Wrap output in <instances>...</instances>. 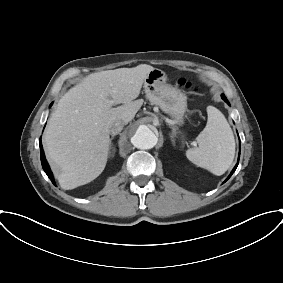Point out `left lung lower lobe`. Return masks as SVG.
<instances>
[{
	"label": "left lung lower lobe",
	"instance_id": "1",
	"mask_svg": "<svg viewBox=\"0 0 283 283\" xmlns=\"http://www.w3.org/2000/svg\"><path fill=\"white\" fill-rule=\"evenodd\" d=\"M221 96H222V99H223L224 101H226V103L229 104V102H228L227 98L225 97V95L222 94ZM237 165H238V163L236 164V166H235L234 169L232 170L231 174L229 175V177H228L225 181H227V180L231 177V175H232V174L234 173V171L236 170Z\"/></svg>",
	"mask_w": 283,
	"mask_h": 283
}]
</instances>
